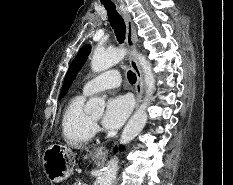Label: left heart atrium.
I'll return each mask as SVG.
<instances>
[{
  "label": "left heart atrium",
  "mask_w": 233,
  "mask_h": 185,
  "mask_svg": "<svg viewBox=\"0 0 233 185\" xmlns=\"http://www.w3.org/2000/svg\"><path fill=\"white\" fill-rule=\"evenodd\" d=\"M131 109L132 104L128 96L118 95L111 97L107 102L102 124L110 130L119 128L129 116Z\"/></svg>",
  "instance_id": "left-heart-atrium-1"
}]
</instances>
